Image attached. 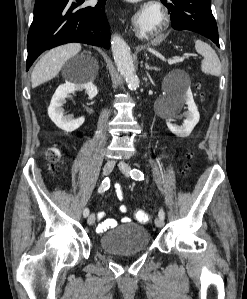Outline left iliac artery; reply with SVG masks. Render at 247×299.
<instances>
[{
    "instance_id": "left-iliac-artery-1",
    "label": "left iliac artery",
    "mask_w": 247,
    "mask_h": 299,
    "mask_svg": "<svg viewBox=\"0 0 247 299\" xmlns=\"http://www.w3.org/2000/svg\"><path fill=\"white\" fill-rule=\"evenodd\" d=\"M130 175H131L132 179H134V180H143L144 179V175L139 169L134 168L133 170L130 171ZM158 216L164 220L165 213L162 208L159 210Z\"/></svg>"
}]
</instances>
